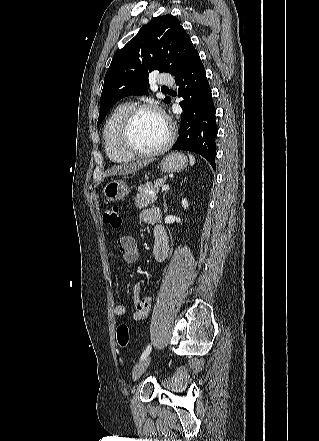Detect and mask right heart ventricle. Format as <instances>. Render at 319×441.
<instances>
[{"instance_id":"e07e8e85","label":"right heart ventricle","mask_w":319,"mask_h":441,"mask_svg":"<svg viewBox=\"0 0 319 441\" xmlns=\"http://www.w3.org/2000/svg\"><path fill=\"white\" fill-rule=\"evenodd\" d=\"M131 106L127 102L118 104L110 113L103 128L105 151L110 160L114 162L121 163L132 159L131 155L121 149L118 142L120 124Z\"/></svg>"}]
</instances>
